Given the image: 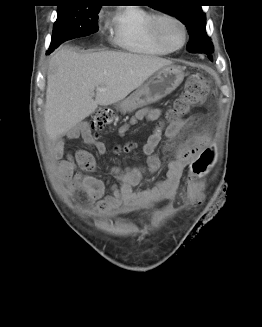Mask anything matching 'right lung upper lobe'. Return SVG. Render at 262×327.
<instances>
[{
	"label": "right lung upper lobe",
	"mask_w": 262,
	"mask_h": 327,
	"mask_svg": "<svg viewBox=\"0 0 262 327\" xmlns=\"http://www.w3.org/2000/svg\"><path fill=\"white\" fill-rule=\"evenodd\" d=\"M61 3L66 2H82V1H94V0H59Z\"/></svg>",
	"instance_id": "obj_1"
}]
</instances>
